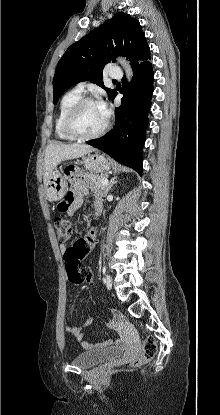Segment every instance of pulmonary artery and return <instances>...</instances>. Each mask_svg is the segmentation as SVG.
I'll list each match as a JSON object with an SVG mask.
<instances>
[{
  "mask_svg": "<svg viewBox=\"0 0 220 415\" xmlns=\"http://www.w3.org/2000/svg\"><path fill=\"white\" fill-rule=\"evenodd\" d=\"M110 76L112 78H121L122 77V72L120 71L119 68H114L113 70L110 71ZM84 87H85V83L81 82L75 87V89L80 91V92H83Z\"/></svg>",
  "mask_w": 220,
  "mask_h": 415,
  "instance_id": "1",
  "label": "pulmonary artery"
}]
</instances>
